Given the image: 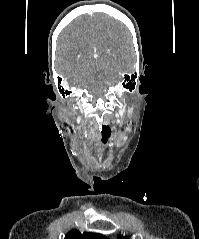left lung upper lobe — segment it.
<instances>
[{
  "instance_id": "obj_1",
  "label": "left lung upper lobe",
  "mask_w": 199,
  "mask_h": 239,
  "mask_svg": "<svg viewBox=\"0 0 199 239\" xmlns=\"http://www.w3.org/2000/svg\"><path fill=\"white\" fill-rule=\"evenodd\" d=\"M118 239H128V238L127 237H123L122 235H119Z\"/></svg>"
}]
</instances>
